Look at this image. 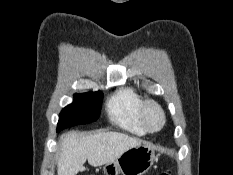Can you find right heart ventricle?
<instances>
[{"mask_svg": "<svg viewBox=\"0 0 233 175\" xmlns=\"http://www.w3.org/2000/svg\"><path fill=\"white\" fill-rule=\"evenodd\" d=\"M143 96L133 88L117 90L106 103L108 118L120 128L137 135H143L147 129L140 118Z\"/></svg>", "mask_w": 233, "mask_h": 175, "instance_id": "obj_1", "label": "right heart ventricle"}]
</instances>
